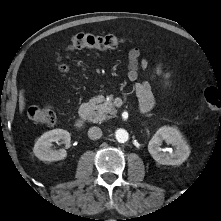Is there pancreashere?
<instances>
[{
    "mask_svg": "<svg viewBox=\"0 0 221 221\" xmlns=\"http://www.w3.org/2000/svg\"><path fill=\"white\" fill-rule=\"evenodd\" d=\"M112 101V95L109 96L108 100H106L102 95L93 97L90 100V104L95 111L90 115L89 120L97 123L115 116L117 110L115 109Z\"/></svg>",
    "mask_w": 221,
    "mask_h": 221,
    "instance_id": "cf45deb5",
    "label": "pancreas"
}]
</instances>
